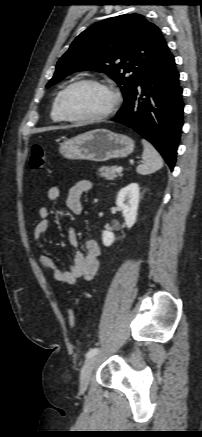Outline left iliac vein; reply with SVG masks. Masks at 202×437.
Segmentation results:
<instances>
[{"mask_svg": "<svg viewBox=\"0 0 202 437\" xmlns=\"http://www.w3.org/2000/svg\"><path fill=\"white\" fill-rule=\"evenodd\" d=\"M97 360H98V356L94 355L84 363L80 372V384L82 388H86L88 386Z\"/></svg>", "mask_w": 202, "mask_h": 437, "instance_id": "obj_1", "label": "left iliac vein"}]
</instances>
